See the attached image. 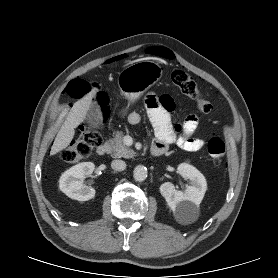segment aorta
I'll use <instances>...</instances> for the list:
<instances>
[{"mask_svg":"<svg viewBox=\"0 0 278 278\" xmlns=\"http://www.w3.org/2000/svg\"><path fill=\"white\" fill-rule=\"evenodd\" d=\"M147 168L143 165H138L134 168L133 177L136 181H144L147 178Z\"/></svg>","mask_w":278,"mask_h":278,"instance_id":"1","label":"aorta"}]
</instances>
